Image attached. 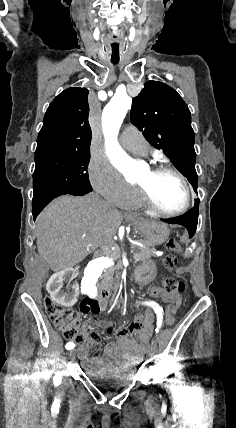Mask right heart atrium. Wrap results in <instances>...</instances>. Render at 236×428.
I'll return each mask as SVG.
<instances>
[{"instance_id": "right-heart-atrium-1", "label": "right heart atrium", "mask_w": 236, "mask_h": 428, "mask_svg": "<svg viewBox=\"0 0 236 428\" xmlns=\"http://www.w3.org/2000/svg\"><path fill=\"white\" fill-rule=\"evenodd\" d=\"M89 181L102 200H110V206H125L134 192V188L121 179L104 159L91 160Z\"/></svg>"}]
</instances>
